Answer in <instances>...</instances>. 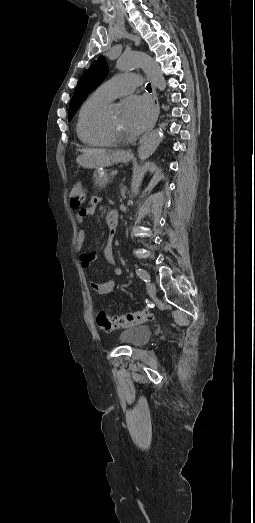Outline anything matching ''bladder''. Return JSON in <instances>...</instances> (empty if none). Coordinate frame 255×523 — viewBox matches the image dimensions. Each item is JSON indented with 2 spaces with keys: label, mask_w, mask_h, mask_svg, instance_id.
Returning a JSON list of instances; mask_svg holds the SVG:
<instances>
[{
  "label": "bladder",
  "mask_w": 255,
  "mask_h": 523,
  "mask_svg": "<svg viewBox=\"0 0 255 523\" xmlns=\"http://www.w3.org/2000/svg\"><path fill=\"white\" fill-rule=\"evenodd\" d=\"M150 336L151 328L147 326H135L126 328L121 332L119 338L129 346H139L149 340Z\"/></svg>",
  "instance_id": "1"
}]
</instances>
